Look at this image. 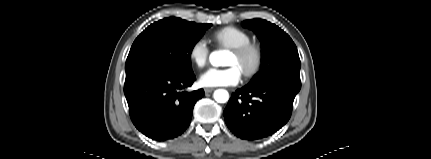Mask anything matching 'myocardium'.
<instances>
[{
	"instance_id": "obj_1",
	"label": "myocardium",
	"mask_w": 431,
	"mask_h": 159,
	"mask_svg": "<svg viewBox=\"0 0 431 159\" xmlns=\"http://www.w3.org/2000/svg\"><path fill=\"white\" fill-rule=\"evenodd\" d=\"M231 52L243 64L242 74L245 77L250 78L259 71L263 61V51L260 45L250 42L232 48Z\"/></svg>"
}]
</instances>
